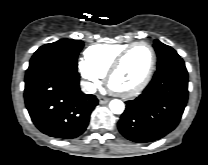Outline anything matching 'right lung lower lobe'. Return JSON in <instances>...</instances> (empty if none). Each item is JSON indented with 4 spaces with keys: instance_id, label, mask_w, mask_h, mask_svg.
<instances>
[{
    "instance_id": "1",
    "label": "right lung lower lobe",
    "mask_w": 208,
    "mask_h": 165,
    "mask_svg": "<svg viewBox=\"0 0 208 165\" xmlns=\"http://www.w3.org/2000/svg\"><path fill=\"white\" fill-rule=\"evenodd\" d=\"M24 98L34 125L42 133L62 139L81 135L98 104L94 95L80 90L77 67L61 60L26 71Z\"/></svg>"
}]
</instances>
